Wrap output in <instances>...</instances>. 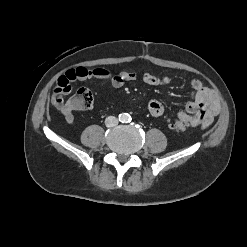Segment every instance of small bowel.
<instances>
[{"label":"small bowel","mask_w":247,"mask_h":247,"mask_svg":"<svg viewBox=\"0 0 247 247\" xmlns=\"http://www.w3.org/2000/svg\"><path fill=\"white\" fill-rule=\"evenodd\" d=\"M92 78L107 80L115 88H121L126 82L136 81L138 79L152 86H162L170 82L169 77H159L152 73H144L139 76L133 71L115 73L106 68L87 69L85 67H78L70 69L58 79L57 86L52 95L53 104L62 113L68 123L73 122V112L75 109L72 108L69 100L64 101L63 95L71 92L74 82ZM191 88V101L187 103L185 110L177 113V117L180 121L191 127L207 128L219 113V100L215 92L206 87L200 80H192ZM148 110L155 118L160 117L164 113L163 105L155 99L149 101Z\"/></svg>","instance_id":"small-bowel-1"}]
</instances>
